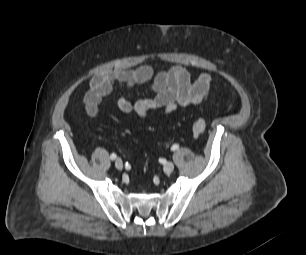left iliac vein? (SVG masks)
I'll return each mask as SVG.
<instances>
[{
    "label": "left iliac vein",
    "mask_w": 306,
    "mask_h": 255,
    "mask_svg": "<svg viewBox=\"0 0 306 255\" xmlns=\"http://www.w3.org/2000/svg\"><path fill=\"white\" fill-rule=\"evenodd\" d=\"M174 170V164L173 162H166L163 166V171L166 173V174H170L172 173V171Z\"/></svg>",
    "instance_id": "left-iliac-vein-1"
}]
</instances>
